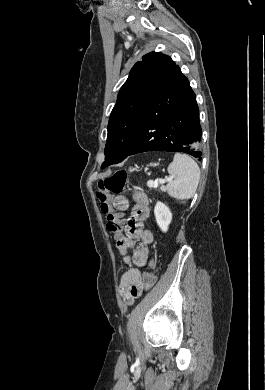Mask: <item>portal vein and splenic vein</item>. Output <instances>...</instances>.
Masks as SVG:
<instances>
[{"instance_id":"obj_1","label":"portal vein and splenic vein","mask_w":265,"mask_h":390,"mask_svg":"<svg viewBox=\"0 0 265 390\" xmlns=\"http://www.w3.org/2000/svg\"><path fill=\"white\" fill-rule=\"evenodd\" d=\"M173 180V177L172 176H169V177H166L165 179H161L159 181H152V180H149L148 181V185L151 186V187H157L158 186V183H166V182H170Z\"/></svg>"}]
</instances>
